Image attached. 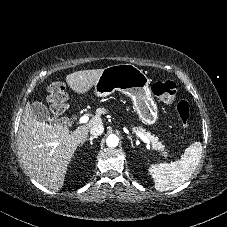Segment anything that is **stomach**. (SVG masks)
Returning <instances> with one entry per match:
<instances>
[{
    "label": "stomach",
    "mask_w": 227,
    "mask_h": 227,
    "mask_svg": "<svg viewBox=\"0 0 227 227\" xmlns=\"http://www.w3.org/2000/svg\"><path fill=\"white\" fill-rule=\"evenodd\" d=\"M149 84L150 79L142 69L133 64H117L103 69L94 91L98 97L109 96L116 90L131 97L140 120L153 125L158 120V108Z\"/></svg>",
    "instance_id": "stomach-1"
}]
</instances>
